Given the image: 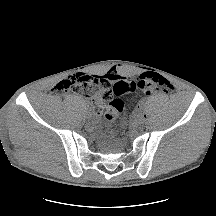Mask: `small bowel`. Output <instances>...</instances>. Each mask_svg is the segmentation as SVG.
Here are the masks:
<instances>
[{"mask_svg": "<svg viewBox=\"0 0 216 216\" xmlns=\"http://www.w3.org/2000/svg\"><path fill=\"white\" fill-rule=\"evenodd\" d=\"M105 77H106L107 79H109L110 81H113V82L122 79V77H121L120 75H118L116 71H115V72H114V71H109V72L105 75ZM95 104H97V105L102 104V100H101L99 97H97V98L95 99L94 105H93L94 111H95L97 114H99V113H100V110H99V108H96V107H95Z\"/></svg>", "mask_w": 216, "mask_h": 216, "instance_id": "1", "label": "small bowel"}]
</instances>
